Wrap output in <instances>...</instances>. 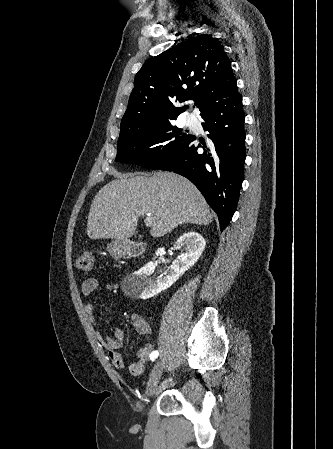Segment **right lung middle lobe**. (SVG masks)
I'll return each mask as SVG.
<instances>
[{
	"instance_id": "1",
	"label": "right lung middle lobe",
	"mask_w": 333,
	"mask_h": 449,
	"mask_svg": "<svg viewBox=\"0 0 333 449\" xmlns=\"http://www.w3.org/2000/svg\"><path fill=\"white\" fill-rule=\"evenodd\" d=\"M191 136L168 121L142 134L119 140L116 161L155 168L183 146Z\"/></svg>"
}]
</instances>
